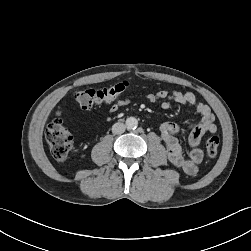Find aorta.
Masks as SVG:
<instances>
[{"instance_id":"1","label":"aorta","mask_w":251,"mask_h":251,"mask_svg":"<svg viewBox=\"0 0 251 251\" xmlns=\"http://www.w3.org/2000/svg\"><path fill=\"white\" fill-rule=\"evenodd\" d=\"M138 126V120L135 117H128L126 119V127L128 129H135Z\"/></svg>"}]
</instances>
